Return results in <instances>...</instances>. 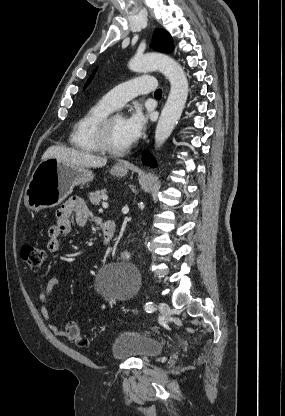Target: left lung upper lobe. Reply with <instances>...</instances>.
Segmentation results:
<instances>
[{"label": "left lung upper lobe", "mask_w": 285, "mask_h": 416, "mask_svg": "<svg viewBox=\"0 0 285 416\" xmlns=\"http://www.w3.org/2000/svg\"><path fill=\"white\" fill-rule=\"evenodd\" d=\"M151 47L159 52L162 53H171L174 49L173 40L170 36V34L163 30V29H156L153 34ZM95 73V71H94ZM94 73L91 75V77L88 79V81L85 84V87L90 83V81L94 77Z\"/></svg>", "instance_id": "5c2ea615"}]
</instances>
